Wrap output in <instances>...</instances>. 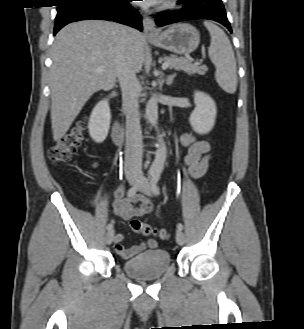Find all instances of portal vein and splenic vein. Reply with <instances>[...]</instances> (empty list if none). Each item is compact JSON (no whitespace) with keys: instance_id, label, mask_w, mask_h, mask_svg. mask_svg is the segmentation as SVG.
Returning <instances> with one entry per match:
<instances>
[{"instance_id":"1","label":"portal vein and splenic vein","mask_w":304,"mask_h":329,"mask_svg":"<svg viewBox=\"0 0 304 329\" xmlns=\"http://www.w3.org/2000/svg\"><path fill=\"white\" fill-rule=\"evenodd\" d=\"M167 67H169V62H166V61H165V62L163 63V65H162V68H163V69H166ZM97 71H98V72H102V69L99 68Z\"/></svg>"}]
</instances>
